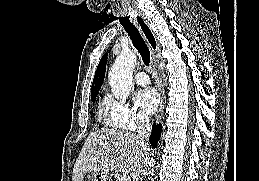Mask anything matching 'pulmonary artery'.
<instances>
[{"label": "pulmonary artery", "instance_id": "obj_1", "mask_svg": "<svg viewBox=\"0 0 259 181\" xmlns=\"http://www.w3.org/2000/svg\"><path fill=\"white\" fill-rule=\"evenodd\" d=\"M135 82L140 85V86H146L149 84L150 80L146 72L144 71H139L135 75Z\"/></svg>", "mask_w": 259, "mask_h": 181}]
</instances>
